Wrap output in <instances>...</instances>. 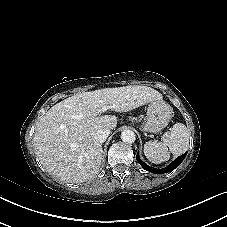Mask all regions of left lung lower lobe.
Listing matches in <instances>:
<instances>
[{
  "label": "left lung lower lobe",
  "instance_id": "0a47b994",
  "mask_svg": "<svg viewBox=\"0 0 227 227\" xmlns=\"http://www.w3.org/2000/svg\"><path fill=\"white\" fill-rule=\"evenodd\" d=\"M186 154H183L181 156H179L178 158H176L169 166H167L166 168H163V169H155V168H152L150 166H148L146 163H144L140 157H139V154L137 153L136 155V160L138 161V163L147 171L149 172H152L154 174H164V173H167V172H170V171H173L175 168H177L181 163L182 161L184 160V158L186 157Z\"/></svg>",
  "mask_w": 227,
  "mask_h": 227
}]
</instances>
